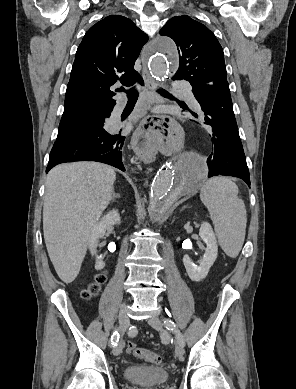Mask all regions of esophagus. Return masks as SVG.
<instances>
[{
  "label": "esophagus",
  "instance_id": "esophagus-1",
  "mask_svg": "<svg viewBox=\"0 0 296 389\" xmlns=\"http://www.w3.org/2000/svg\"><path fill=\"white\" fill-rule=\"evenodd\" d=\"M142 62V74L146 87L150 91H153L157 83L150 75L143 59ZM155 113L150 112L145 122L137 123L131 140V147L133 151H136V155L147 158L150 162H154L158 158L155 152V139H159L160 137L166 138L181 128V121L178 118L169 117L168 119H158Z\"/></svg>",
  "mask_w": 296,
  "mask_h": 389
}]
</instances>
